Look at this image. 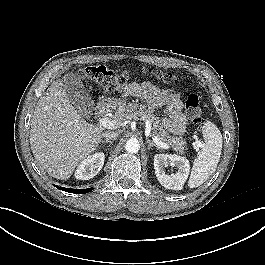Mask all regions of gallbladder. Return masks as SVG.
Returning a JSON list of instances; mask_svg holds the SVG:
<instances>
[{
	"label": "gallbladder",
	"instance_id": "1",
	"mask_svg": "<svg viewBox=\"0 0 265 265\" xmlns=\"http://www.w3.org/2000/svg\"><path fill=\"white\" fill-rule=\"evenodd\" d=\"M63 88L70 100L76 106L82 117H89L94 110V101L88 94L82 81L74 73H68L62 79Z\"/></svg>",
	"mask_w": 265,
	"mask_h": 265
}]
</instances>
